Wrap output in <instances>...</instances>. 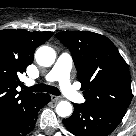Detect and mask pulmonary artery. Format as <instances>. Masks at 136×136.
Returning <instances> with one entry per match:
<instances>
[{
	"instance_id": "obj_1",
	"label": "pulmonary artery",
	"mask_w": 136,
	"mask_h": 136,
	"mask_svg": "<svg viewBox=\"0 0 136 136\" xmlns=\"http://www.w3.org/2000/svg\"><path fill=\"white\" fill-rule=\"evenodd\" d=\"M72 58L69 54H61L50 72L46 76L47 81H58L63 94L75 103H83L84 97L73 87L70 82V70Z\"/></svg>"
}]
</instances>
